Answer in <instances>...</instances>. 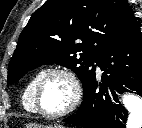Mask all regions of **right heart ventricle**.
<instances>
[{
    "mask_svg": "<svg viewBox=\"0 0 142 128\" xmlns=\"http://www.w3.org/2000/svg\"><path fill=\"white\" fill-rule=\"evenodd\" d=\"M44 69L37 71L25 84L22 95H21V103L23 108L29 112H36L35 103H34V91L36 83L39 77L44 72Z\"/></svg>",
    "mask_w": 142,
    "mask_h": 128,
    "instance_id": "1",
    "label": "right heart ventricle"
}]
</instances>
